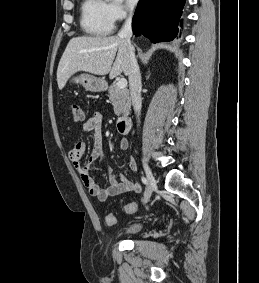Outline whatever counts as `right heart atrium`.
Returning a JSON list of instances; mask_svg holds the SVG:
<instances>
[{
  "mask_svg": "<svg viewBox=\"0 0 259 283\" xmlns=\"http://www.w3.org/2000/svg\"><path fill=\"white\" fill-rule=\"evenodd\" d=\"M109 10L114 22L125 19L132 12L129 6L120 2L109 3Z\"/></svg>",
  "mask_w": 259,
  "mask_h": 283,
  "instance_id": "right-heart-atrium-1",
  "label": "right heart atrium"
}]
</instances>
